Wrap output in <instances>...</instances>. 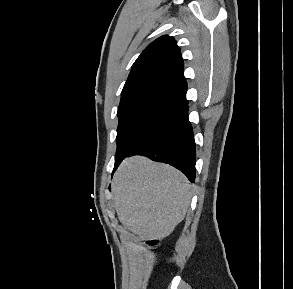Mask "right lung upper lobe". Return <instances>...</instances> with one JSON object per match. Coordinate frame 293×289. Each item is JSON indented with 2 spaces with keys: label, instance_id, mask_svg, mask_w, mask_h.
I'll return each instance as SVG.
<instances>
[{
  "label": "right lung upper lobe",
  "instance_id": "obj_1",
  "mask_svg": "<svg viewBox=\"0 0 293 289\" xmlns=\"http://www.w3.org/2000/svg\"><path fill=\"white\" fill-rule=\"evenodd\" d=\"M180 48L173 37L153 41L134 62L121 93V102L156 98L176 105L188 103Z\"/></svg>",
  "mask_w": 293,
  "mask_h": 289
}]
</instances>
